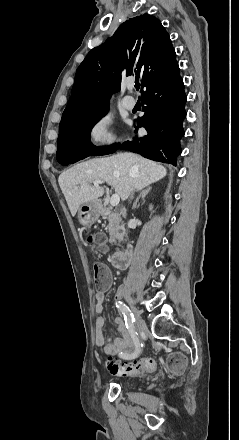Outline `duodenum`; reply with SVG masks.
<instances>
[{"label":"duodenum","mask_w":239,"mask_h":440,"mask_svg":"<svg viewBox=\"0 0 239 440\" xmlns=\"http://www.w3.org/2000/svg\"><path fill=\"white\" fill-rule=\"evenodd\" d=\"M132 250L129 245L124 251L114 252L110 257V263L113 267L124 269L128 266L131 260Z\"/></svg>","instance_id":"obj_1"}]
</instances>
